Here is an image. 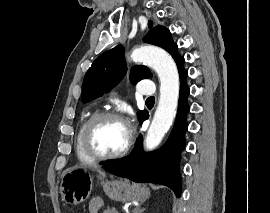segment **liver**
I'll use <instances>...</instances> for the list:
<instances>
[{"label":"liver","instance_id":"6515ba94","mask_svg":"<svg viewBox=\"0 0 270 213\" xmlns=\"http://www.w3.org/2000/svg\"><path fill=\"white\" fill-rule=\"evenodd\" d=\"M95 170L100 173V175L105 176V173L101 171L98 167H95Z\"/></svg>","mask_w":270,"mask_h":213}]
</instances>
